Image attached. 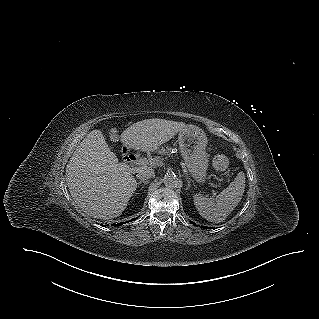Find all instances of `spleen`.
<instances>
[{
  "mask_svg": "<svg viewBox=\"0 0 319 319\" xmlns=\"http://www.w3.org/2000/svg\"><path fill=\"white\" fill-rule=\"evenodd\" d=\"M245 189V174L239 172L233 182L216 198H208L200 193L193 196L194 205L206 220L219 223L225 220L242 199Z\"/></svg>",
  "mask_w": 319,
  "mask_h": 319,
  "instance_id": "obj_1",
  "label": "spleen"
}]
</instances>
